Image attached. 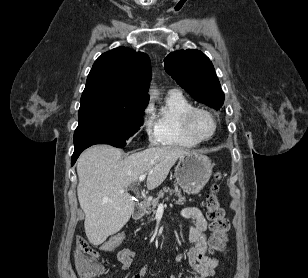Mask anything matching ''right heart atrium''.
<instances>
[{
	"label": "right heart atrium",
	"instance_id": "1",
	"mask_svg": "<svg viewBox=\"0 0 308 278\" xmlns=\"http://www.w3.org/2000/svg\"><path fill=\"white\" fill-rule=\"evenodd\" d=\"M142 129L144 130L148 140L150 142H156L155 129H154V120L151 115V108L147 106L144 109L142 116Z\"/></svg>",
	"mask_w": 308,
	"mask_h": 278
}]
</instances>
